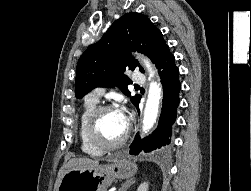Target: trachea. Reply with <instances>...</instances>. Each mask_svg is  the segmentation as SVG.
Here are the masks:
<instances>
[{
    "label": "trachea",
    "mask_w": 251,
    "mask_h": 191,
    "mask_svg": "<svg viewBox=\"0 0 251 191\" xmlns=\"http://www.w3.org/2000/svg\"><path fill=\"white\" fill-rule=\"evenodd\" d=\"M134 86H135V88L139 87V85H134Z\"/></svg>",
    "instance_id": "obj_1"
}]
</instances>
